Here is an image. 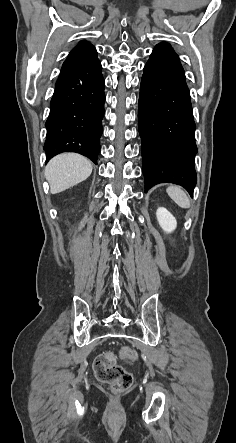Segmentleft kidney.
<instances>
[{
    "label": "left kidney",
    "mask_w": 236,
    "mask_h": 443,
    "mask_svg": "<svg viewBox=\"0 0 236 443\" xmlns=\"http://www.w3.org/2000/svg\"><path fill=\"white\" fill-rule=\"evenodd\" d=\"M157 220L160 227L167 233H171L177 227L175 217L163 207H159L156 212Z\"/></svg>",
    "instance_id": "5707ae66"
}]
</instances>
